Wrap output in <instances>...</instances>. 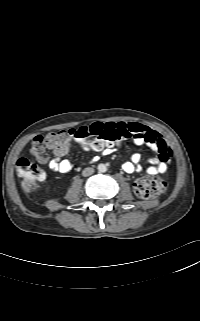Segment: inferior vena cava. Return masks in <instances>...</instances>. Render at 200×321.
<instances>
[{
    "mask_svg": "<svg viewBox=\"0 0 200 321\" xmlns=\"http://www.w3.org/2000/svg\"><path fill=\"white\" fill-rule=\"evenodd\" d=\"M93 173H94V169L91 168V167H87V168H85V169L82 171V175H83L84 177L90 176V175H92Z\"/></svg>",
    "mask_w": 200,
    "mask_h": 321,
    "instance_id": "obj_1",
    "label": "inferior vena cava"
}]
</instances>
